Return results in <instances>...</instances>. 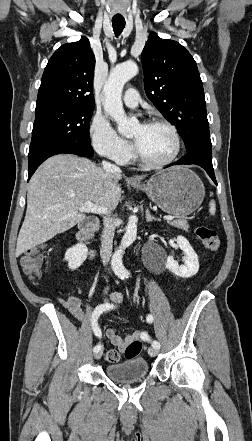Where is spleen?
Wrapping results in <instances>:
<instances>
[{
	"mask_svg": "<svg viewBox=\"0 0 252 441\" xmlns=\"http://www.w3.org/2000/svg\"><path fill=\"white\" fill-rule=\"evenodd\" d=\"M213 195V193H211V196ZM216 212V204L214 200H211L209 203V213L211 215H215Z\"/></svg>",
	"mask_w": 252,
	"mask_h": 441,
	"instance_id": "spleen-1",
	"label": "spleen"
}]
</instances>
